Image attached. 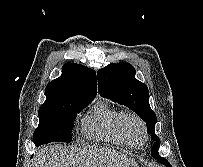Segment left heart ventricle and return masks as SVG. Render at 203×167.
Masks as SVG:
<instances>
[{"instance_id":"obj_1","label":"left heart ventricle","mask_w":203,"mask_h":167,"mask_svg":"<svg viewBox=\"0 0 203 167\" xmlns=\"http://www.w3.org/2000/svg\"><path fill=\"white\" fill-rule=\"evenodd\" d=\"M128 133L135 143H140L142 140V132L139 124L135 121H130L127 124Z\"/></svg>"}]
</instances>
